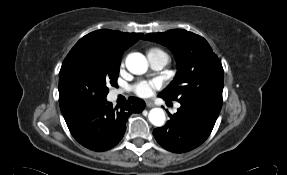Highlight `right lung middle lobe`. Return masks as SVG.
<instances>
[{
    "mask_svg": "<svg viewBox=\"0 0 287 175\" xmlns=\"http://www.w3.org/2000/svg\"><path fill=\"white\" fill-rule=\"evenodd\" d=\"M120 59H99L87 43L75 45L59 73V105L62 113L94 106L106 98L108 86H116Z\"/></svg>",
    "mask_w": 287,
    "mask_h": 175,
    "instance_id": "obj_1",
    "label": "right lung middle lobe"
}]
</instances>
